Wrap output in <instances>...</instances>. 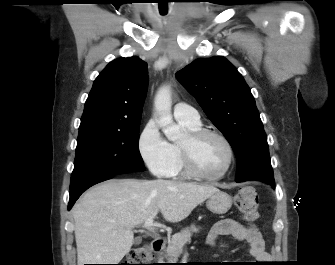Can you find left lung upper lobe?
I'll list each match as a JSON object with an SVG mask.
<instances>
[{
	"instance_id": "obj_1",
	"label": "left lung upper lobe",
	"mask_w": 335,
	"mask_h": 265,
	"mask_svg": "<svg viewBox=\"0 0 335 265\" xmlns=\"http://www.w3.org/2000/svg\"><path fill=\"white\" fill-rule=\"evenodd\" d=\"M237 158V181H274L267 136L242 75L224 57L199 59L176 73Z\"/></svg>"
}]
</instances>
